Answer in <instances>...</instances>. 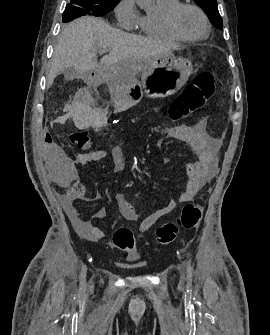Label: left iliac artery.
<instances>
[{"label": "left iliac artery", "instance_id": "left-iliac-artery-1", "mask_svg": "<svg viewBox=\"0 0 270 335\" xmlns=\"http://www.w3.org/2000/svg\"><path fill=\"white\" fill-rule=\"evenodd\" d=\"M187 278H188V282L191 284V281H192V268H191V266H189V268H188Z\"/></svg>", "mask_w": 270, "mask_h": 335}]
</instances>
